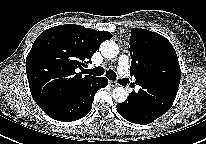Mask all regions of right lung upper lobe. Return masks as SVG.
<instances>
[{"label":"right lung upper lobe","mask_w":206,"mask_h":144,"mask_svg":"<svg viewBox=\"0 0 206 144\" xmlns=\"http://www.w3.org/2000/svg\"><path fill=\"white\" fill-rule=\"evenodd\" d=\"M107 31L65 24L42 32L26 58V73L34 101L41 109L79 92L96 77L77 73L100 44L110 39Z\"/></svg>","instance_id":"obj_1"}]
</instances>
